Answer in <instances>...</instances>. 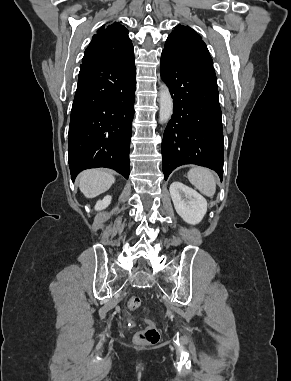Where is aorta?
<instances>
[{
    "label": "aorta",
    "instance_id": "1",
    "mask_svg": "<svg viewBox=\"0 0 291 381\" xmlns=\"http://www.w3.org/2000/svg\"><path fill=\"white\" fill-rule=\"evenodd\" d=\"M159 105V121L160 123H167L173 114V100L168 87L164 83L160 88Z\"/></svg>",
    "mask_w": 291,
    "mask_h": 381
}]
</instances>
